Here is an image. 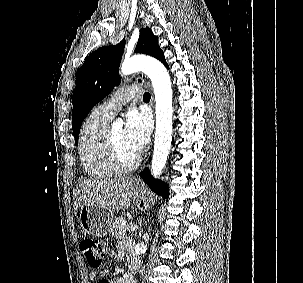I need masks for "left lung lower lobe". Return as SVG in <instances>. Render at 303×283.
Returning <instances> with one entry per match:
<instances>
[{
  "label": "left lung lower lobe",
  "instance_id": "1",
  "mask_svg": "<svg viewBox=\"0 0 303 283\" xmlns=\"http://www.w3.org/2000/svg\"><path fill=\"white\" fill-rule=\"evenodd\" d=\"M165 66L169 68L167 64H165ZM140 176L145 181V183H147V185L152 191H154L156 194L164 198H168L169 195L168 186L166 185L165 182H161L160 180L154 179L151 176L149 169H145L144 171H142L140 173Z\"/></svg>",
  "mask_w": 303,
  "mask_h": 283
}]
</instances>
